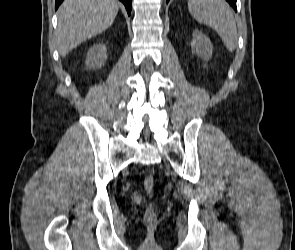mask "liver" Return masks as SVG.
<instances>
[{
	"instance_id": "obj_1",
	"label": "liver",
	"mask_w": 295,
	"mask_h": 250,
	"mask_svg": "<svg viewBox=\"0 0 295 250\" xmlns=\"http://www.w3.org/2000/svg\"><path fill=\"white\" fill-rule=\"evenodd\" d=\"M116 0H64L58 11V50L62 57L103 31L118 13Z\"/></svg>"
}]
</instances>
